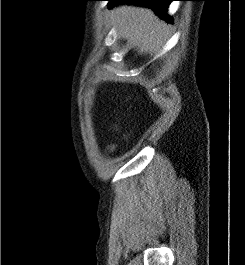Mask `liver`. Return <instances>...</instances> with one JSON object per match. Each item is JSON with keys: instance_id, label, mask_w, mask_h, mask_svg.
Returning <instances> with one entry per match:
<instances>
[{"instance_id": "6515ba94", "label": "liver", "mask_w": 245, "mask_h": 265, "mask_svg": "<svg viewBox=\"0 0 245 265\" xmlns=\"http://www.w3.org/2000/svg\"><path fill=\"white\" fill-rule=\"evenodd\" d=\"M110 19L118 35L141 53L161 50L168 38L167 24L148 8L119 5L111 11Z\"/></svg>"}]
</instances>
